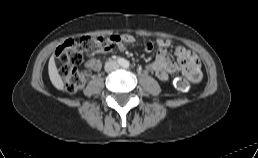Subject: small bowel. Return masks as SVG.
<instances>
[{"label": "small bowel", "mask_w": 258, "mask_h": 158, "mask_svg": "<svg viewBox=\"0 0 258 158\" xmlns=\"http://www.w3.org/2000/svg\"><path fill=\"white\" fill-rule=\"evenodd\" d=\"M120 49L125 48V44L133 43L132 35H123ZM173 46V41L162 38L155 42H146L145 50L147 52L156 51L157 55L153 62L147 65V70L154 74L160 81H167L171 74L183 73L189 80L197 82L201 79L200 61L196 54L183 46L175 47L177 61L169 58L166 50ZM86 67L92 71H98L102 67L100 59L90 58L86 62Z\"/></svg>", "instance_id": "1"}]
</instances>
